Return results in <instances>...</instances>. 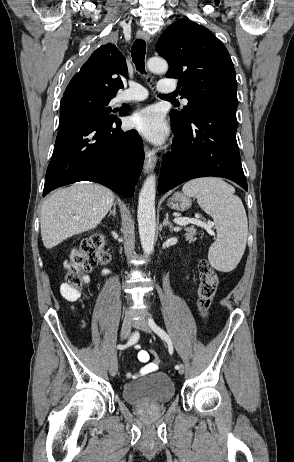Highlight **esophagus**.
I'll use <instances>...</instances> for the list:
<instances>
[{
	"label": "esophagus",
	"mask_w": 294,
	"mask_h": 462,
	"mask_svg": "<svg viewBox=\"0 0 294 462\" xmlns=\"http://www.w3.org/2000/svg\"><path fill=\"white\" fill-rule=\"evenodd\" d=\"M136 37L143 39L145 41L150 40V35L143 30H139L136 34ZM144 153H145L144 172L149 173L150 171L154 169L156 161H157V157H156L155 151L151 150L147 145L144 147Z\"/></svg>",
	"instance_id": "obj_1"
}]
</instances>
